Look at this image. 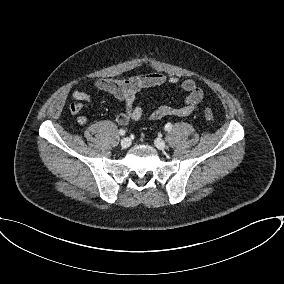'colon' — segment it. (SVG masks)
<instances>
[{
	"instance_id": "5ec220e1",
	"label": "colon",
	"mask_w": 284,
	"mask_h": 284,
	"mask_svg": "<svg viewBox=\"0 0 284 284\" xmlns=\"http://www.w3.org/2000/svg\"><path fill=\"white\" fill-rule=\"evenodd\" d=\"M204 114H205V117L208 121H213L214 120V114L212 112V110L210 108H205L204 110Z\"/></svg>"
}]
</instances>
